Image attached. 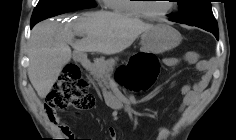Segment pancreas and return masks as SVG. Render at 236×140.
Here are the masks:
<instances>
[{"instance_id":"cf45deb5","label":"pancreas","mask_w":236,"mask_h":140,"mask_svg":"<svg viewBox=\"0 0 236 140\" xmlns=\"http://www.w3.org/2000/svg\"><path fill=\"white\" fill-rule=\"evenodd\" d=\"M114 65V60L99 59L94 62L90 69L93 78L98 82L99 86L103 88L104 91L106 88H109V80Z\"/></svg>"}]
</instances>
